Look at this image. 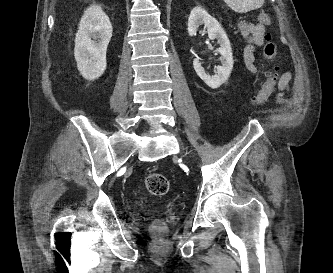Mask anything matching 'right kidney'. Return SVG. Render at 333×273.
Returning a JSON list of instances; mask_svg holds the SVG:
<instances>
[{"mask_svg":"<svg viewBox=\"0 0 333 273\" xmlns=\"http://www.w3.org/2000/svg\"><path fill=\"white\" fill-rule=\"evenodd\" d=\"M112 31L110 20L100 6L91 5L84 11L75 38L74 56L85 79L95 80L104 73Z\"/></svg>","mask_w":333,"mask_h":273,"instance_id":"obj_1","label":"right kidney"}]
</instances>
